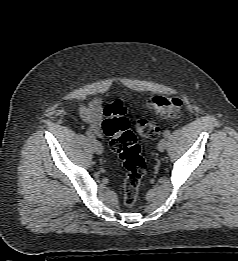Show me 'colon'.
Listing matches in <instances>:
<instances>
[{
  "instance_id": "colon-1",
  "label": "colon",
  "mask_w": 238,
  "mask_h": 261,
  "mask_svg": "<svg viewBox=\"0 0 238 261\" xmlns=\"http://www.w3.org/2000/svg\"><path fill=\"white\" fill-rule=\"evenodd\" d=\"M183 102L176 97L153 96L146 101V108L161 117L177 118L182 109ZM105 119L102 131L110 137V148L123 162L125 178L123 183V203L131 208L135 205L142 179L146 173V162L141 154L137 137L129 128L126 118V107L120 100L114 101L104 107ZM135 129L145 138H154L159 133L157 124L145 117L136 119Z\"/></svg>"
}]
</instances>
